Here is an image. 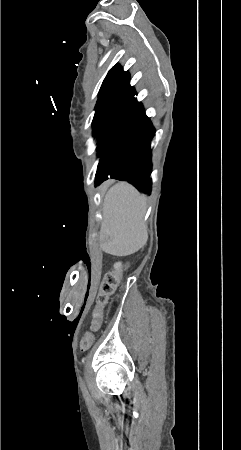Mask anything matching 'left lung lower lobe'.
<instances>
[{
  "instance_id": "0a47b994",
  "label": "left lung lower lobe",
  "mask_w": 241,
  "mask_h": 450,
  "mask_svg": "<svg viewBox=\"0 0 241 450\" xmlns=\"http://www.w3.org/2000/svg\"><path fill=\"white\" fill-rule=\"evenodd\" d=\"M124 86L93 121L98 135V164L95 184L108 177L127 181L151 194V149L155 129L141 103L134 97L128 72H123Z\"/></svg>"
}]
</instances>
